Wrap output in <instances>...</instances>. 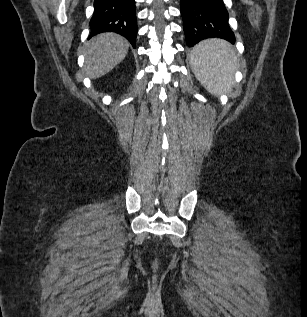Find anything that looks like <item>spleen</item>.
Wrapping results in <instances>:
<instances>
[{
	"label": "spleen",
	"instance_id": "3e777b00",
	"mask_svg": "<svg viewBox=\"0 0 307 317\" xmlns=\"http://www.w3.org/2000/svg\"><path fill=\"white\" fill-rule=\"evenodd\" d=\"M190 59L195 76L210 93L218 95L231 90L236 58L227 42L202 41L191 51Z\"/></svg>",
	"mask_w": 307,
	"mask_h": 317
}]
</instances>
